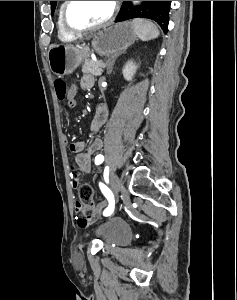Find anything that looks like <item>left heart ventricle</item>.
I'll list each match as a JSON object with an SVG mask.
<instances>
[{
  "instance_id": "b2bd125f",
  "label": "left heart ventricle",
  "mask_w": 237,
  "mask_h": 300,
  "mask_svg": "<svg viewBox=\"0 0 237 300\" xmlns=\"http://www.w3.org/2000/svg\"><path fill=\"white\" fill-rule=\"evenodd\" d=\"M113 1H73L68 11V22L74 28H84L105 21Z\"/></svg>"
}]
</instances>
